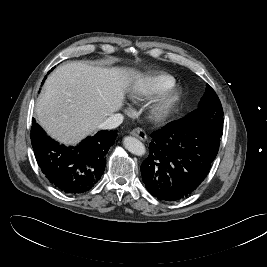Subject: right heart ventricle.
Segmentation results:
<instances>
[{"instance_id": "1", "label": "right heart ventricle", "mask_w": 267, "mask_h": 267, "mask_svg": "<svg viewBox=\"0 0 267 267\" xmlns=\"http://www.w3.org/2000/svg\"><path fill=\"white\" fill-rule=\"evenodd\" d=\"M175 78L166 73H150L134 78L129 87L130 97L143 100L159 96L173 87Z\"/></svg>"}]
</instances>
